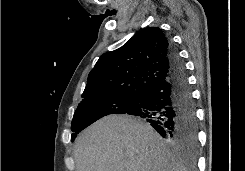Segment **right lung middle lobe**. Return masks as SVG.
Listing matches in <instances>:
<instances>
[{"instance_id":"1","label":"right lung middle lobe","mask_w":245,"mask_h":171,"mask_svg":"<svg viewBox=\"0 0 245 171\" xmlns=\"http://www.w3.org/2000/svg\"><path fill=\"white\" fill-rule=\"evenodd\" d=\"M139 97L123 95L82 101L78 105L71 123L72 131H74L71 141H74L80 131L98 119L109 114L126 113L131 107L138 104Z\"/></svg>"}]
</instances>
